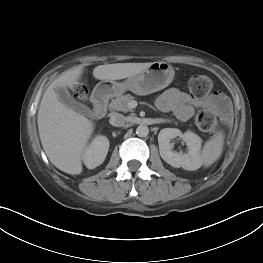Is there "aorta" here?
Returning a JSON list of instances; mask_svg holds the SVG:
<instances>
[{
    "instance_id": "aorta-1",
    "label": "aorta",
    "mask_w": 263,
    "mask_h": 263,
    "mask_svg": "<svg viewBox=\"0 0 263 263\" xmlns=\"http://www.w3.org/2000/svg\"><path fill=\"white\" fill-rule=\"evenodd\" d=\"M136 134H137L139 137H146V136L149 134V128H148V126H146V125H139V126L136 128Z\"/></svg>"
}]
</instances>
